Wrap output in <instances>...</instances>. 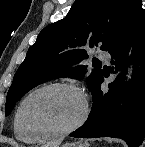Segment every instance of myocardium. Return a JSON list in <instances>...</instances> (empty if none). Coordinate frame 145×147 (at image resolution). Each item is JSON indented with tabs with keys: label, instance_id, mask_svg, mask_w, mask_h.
I'll return each mask as SVG.
<instances>
[{
	"label": "myocardium",
	"instance_id": "1",
	"mask_svg": "<svg viewBox=\"0 0 145 147\" xmlns=\"http://www.w3.org/2000/svg\"><path fill=\"white\" fill-rule=\"evenodd\" d=\"M51 89H70V90L74 91L75 93H77L82 101L81 115L72 125L64 128V129H61V130H47V129L34 130V129L29 128L26 125L25 120H24L25 105L36 94L43 92V91L51 90ZM88 114H89V104H88L87 98H86L85 94L83 93V91L73 83L57 82V83H50V84L41 86V87L33 90L32 92H30L22 100V102L20 103V105L18 107L17 121L19 123V126L21 127V129L24 132L35 135L41 139H47V138H57V137L65 136V135H68V134L74 132L75 130H77L79 127H81L84 124V122L86 121V119L88 117Z\"/></svg>",
	"mask_w": 145,
	"mask_h": 147
}]
</instances>
